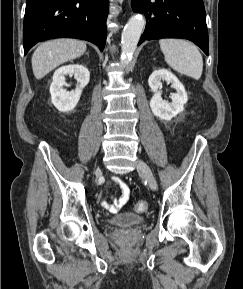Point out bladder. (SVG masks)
Listing matches in <instances>:
<instances>
[{"instance_id": "1", "label": "bladder", "mask_w": 243, "mask_h": 289, "mask_svg": "<svg viewBox=\"0 0 243 289\" xmlns=\"http://www.w3.org/2000/svg\"><path fill=\"white\" fill-rule=\"evenodd\" d=\"M145 221L144 217L129 212L117 214L110 219V223L113 226L121 228L140 226Z\"/></svg>"}]
</instances>
